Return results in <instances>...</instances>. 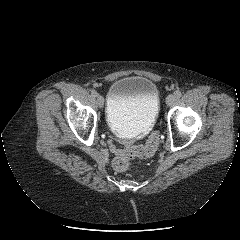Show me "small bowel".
<instances>
[{"mask_svg": "<svg viewBox=\"0 0 240 240\" xmlns=\"http://www.w3.org/2000/svg\"><path fill=\"white\" fill-rule=\"evenodd\" d=\"M107 146L110 148V151L115 155H118L123 151V149L116 147V141L114 139H109L107 141Z\"/></svg>", "mask_w": 240, "mask_h": 240, "instance_id": "small-bowel-1", "label": "small bowel"}]
</instances>
